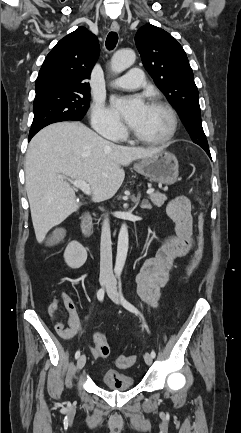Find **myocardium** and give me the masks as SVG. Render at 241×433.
<instances>
[{"mask_svg": "<svg viewBox=\"0 0 241 433\" xmlns=\"http://www.w3.org/2000/svg\"><path fill=\"white\" fill-rule=\"evenodd\" d=\"M149 106H155L160 107L164 109L170 116L171 119V127L169 132L161 137V138H147L140 134H138L136 131L132 130V135L140 142L149 144V145H163L168 143L176 134L178 129V115L175 111V109L166 101L161 99H153L150 101Z\"/></svg>", "mask_w": 241, "mask_h": 433, "instance_id": "myocardium-1", "label": "myocardium"}]
</instances>
